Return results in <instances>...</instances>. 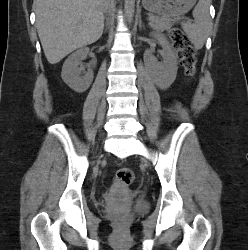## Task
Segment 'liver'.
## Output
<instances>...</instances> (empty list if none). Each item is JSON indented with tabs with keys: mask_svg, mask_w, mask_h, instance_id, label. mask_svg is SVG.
Segmentation results:
<instances>
[{
	"mask_svg": "<svg viewBox=\"0 0 248 250\" xmlns=\"http://www.w3.org/2000/svg\"><path fill=\"white\" fill-rule=\"evenodd\" d=\"M106 0H34L36 28L50 64L96 42L103 33Z\"/></svg>",
	"mask_w": 248,
	"mask_h": 250,
	"instance_id": "obj_1",
	"label": "liver"
}]
</instances>
